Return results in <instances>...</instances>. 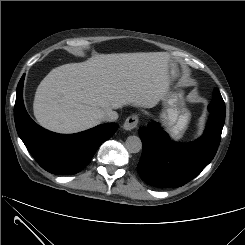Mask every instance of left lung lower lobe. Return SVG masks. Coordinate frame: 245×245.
<instances>
[{"label":"left lung lower lobe","mask_w":245,"mask_h":245,"mask_svg":"<svg viewBox=\"0 0 245 245\" xmlns=\"http://www.w3.org/2000/svg\"><path fill=\"white\" fill-rule=\"evenodd\" d=\"M225 117L210 111L202 137L178 144L153 122L139 128L143 153L137 169L142 180L159 188L180 187L195 178L214 158Z\"/></svg>","instance_id":"0a47b994"}]
</instances>
